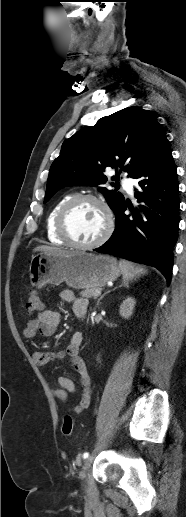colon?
<instances>
[{"label":"colon","mask_w":186,"mask_h":517,"mask_svg":"<svg viewBox=\"0 0 186 517\" xmlns=\"http://www.w3.org/2000/svg\"><path fill=\"white\" fill-rule=\"evenodd\" d=\"M43 309L41 297L36 292L29 293L26 300V310L29 314L39 312ZM74 421L70 415H66L62 423V433L70 436L73 432Z\"/></svg>","instance_id":"5ec220e1"}]
</instances>
